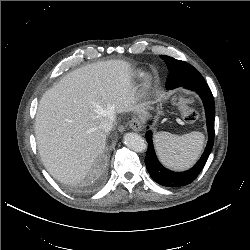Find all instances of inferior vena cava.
Here are the masks:
<instances>
[{
	"label": "inferior vena cava",
	"mask_w": 250,
	"mask_h": 250,
	"mask_svg": "<svg viewBox=\"0 0 250 250\" xmlns=\"http://www.w3.org/2000/svg\"><path fill=\"white\" fill-rule=\"evenodd\" d=\"M114 124V119L113 118H109V119H104L100 125L99 128L102 129L104 132H109Z\"/></svg>",
	"instance_id": "1"
}]
</instances>
